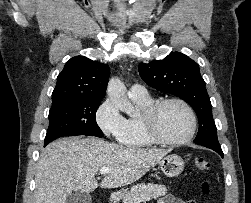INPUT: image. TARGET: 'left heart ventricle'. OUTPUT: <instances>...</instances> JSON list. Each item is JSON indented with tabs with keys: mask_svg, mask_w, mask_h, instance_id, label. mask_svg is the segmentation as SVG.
I'll return each mask as SVG.
<instances>
[{
	"mask_svg": "<svg viewBox=\"0 0 251 203\" xmlns=\"http://www.w3.org/2000/svg\"><path fill=\"white\" fill-rule=\"evenodd\" d=\"M190 127V116L180 104L169 103L160 110L157 128L164 138L170 140L181 139L189 132Z\"/></svg>",
	"mask_w": 251,
	"mask_h": 203,
	"instance_id": "obj_1",
	"label": "left heart ventricle"
}]
</instances>
